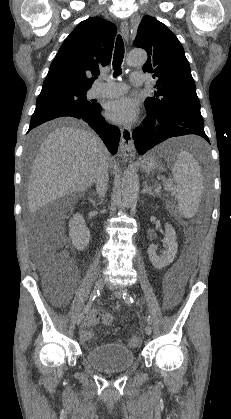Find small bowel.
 Wrapping results in <instances>:
<instances>
[{"label": "small bowel", "mask_w": 231, "mask_h": 419, "mask_svg": "<svg viewBox=\"0 0 231 419\" xmlns=\"http://www.w3.org/2000/svg\"><path fill=\"white\" fill-rule=\"evenodd\" d=\"M75 282V277L71 281L70 285ZM165 287V307L172 308L174 305L177 304L180 298V289L178 288V282L173 277H168L164 281ZM99 312L96 310H92L89 312L88 316L85 319L84 327L81 329L80 334L82 340L85 344H88L92 341L94 333L91 330V327L96 325L99 321Z\"/></svg>", "instance_id": "obj_1"}]
</instances>
